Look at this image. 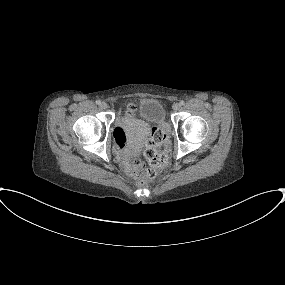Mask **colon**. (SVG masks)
I'll return each mask as SVG.
<instances>
[{"label":"colon","mask_w":285,"mask_h":285,"mask_svg":"<svg viewBox=\"0 0 285 285\" xmlns=\"http://www.w3.org/2000/svg\"><path fill=\"white\" fill-rule=\"evenodd\" d=\"M135 110L134 106H129L128 111L131 113ZM167 136L160 128H154L151 133L150 139L146 143L144 150V157L150 164V168H146L142 162H135L132 169L136 172V182L138 184H144L145 182L153 179L156 175V171L163 169L167 165L168 156L158 151V146L166 142ZM121 143L124 142L121 138Z\"/></svg>","instance_id":"5ec220e1"}]
</instances>
